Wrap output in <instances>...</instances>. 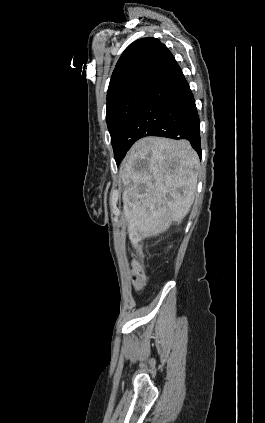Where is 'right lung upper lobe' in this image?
I'll list each match as a JSON object with an SVG mask.
<instances>
[{"mask_svg":"<svg viewBox=\"0 0 265 423\" xmlns=\"http://www.w3.org/2000/svg\"><path fill=\"white\" fill-rule=\"evenodd\" d=\"M174 61L171 52L156 38H142L130 44L113 71L107 107L133 92H149Z\"/></svg>","mask_w":265,"mask_h":423,"instance_id":"obj_1","label":"right lung upper lobe"}]
</instances>
